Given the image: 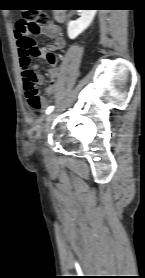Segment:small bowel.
Wrapping results in <instances>:
<instances>
[{"label":"small bowel","mask_w":145,"mask_h":278,"mask_svg":"<svg viewBox=\"0 0 145 278\" xmlns=\"http://www.w3.org/2000/svg\"><path fill=\"white\" fill-rule=\"evenodd\" d=\"M44 35H46L49 38L53 39V42L51 44H48L46 48H41V57L49 64L50 69H49V77H50V83L49 86L46 88V91H49L55 87V84L57 82V74H58V69H57V60L55 58L54 61H48L45 56V52L48 50L52 51H57L62 49L65 46V40L62 35L61 29L59 26H52L49 28H46L42 31ZM35 34V32L30 31V30H25L20 33L15 32V37L17 41V45L20 47L22 45V41L26 38H32V36ZM30 60V56H28L26 53H20V66H21V73L23 77V72L25 67L28 65V61ZM30 69L33 71L36 69V66H31ZM39 82L43 81L42 76H37Z\"/></svg>","instance_id":"small-bowel-1"}]
</instances>
